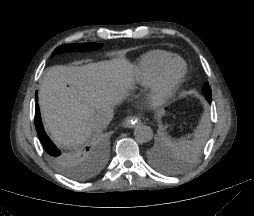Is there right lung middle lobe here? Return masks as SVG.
Here are the masks:
<instances>
[{"label": "right lung middle lobe", "mask_w": 254, "mask_h": 216, "mask_svg": "<svg viewBox=\"0 0 254 216\" xmlns=\"http://www.w3.org/2000/svg\"><path fill=\"white\" fill-rule=\"evenodd\" d=\"M102 44L96 43H85V44H69V45H61L52 55L62 53V52H69V51H90V50H97L101 48ZM52 163L65 175L75 178V179H82L89 176L90 173H86L79 168V161L78 159L72 154H65L63 157L54 159L50 158Z\"/></svg>", "instance_id": "1"}]
</instances>
